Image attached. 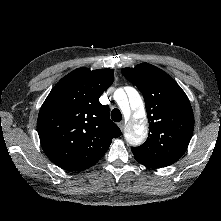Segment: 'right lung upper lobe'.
I'll return each mask as SVG.
<instances>
[{"label":"right lung upper lobe","mask_w":221,"mask_h":221,"mask_svg":"<svg viewBox=\"0 0 221 221\" xmlns=\"http://www.w3.org/2000/svg\"><path fill=\"white\" fill-rule=\"evenodd\" d=\"M114 80L112 69L78 68L51 90L38 115V134L47 157L69 171L98 162L121 131L99 102Z\"/></svg>","instance_id":"cb5924a9"}]
</instances>
